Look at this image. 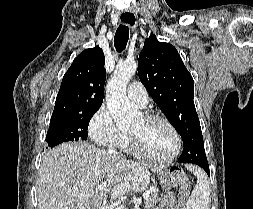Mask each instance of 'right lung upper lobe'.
<instances>
[{"mask_svg":"<svg viewBox=\"0 0 253 209\" xmlns=\"http://www.w3.org/2000/svg\"><path fill=\"white\" fill-rule=\"evenodd\" d=\"M105 57L98 46L82 51L65 73L51 118L100 108L106 79Z\"/></svg>","mask_w":253,"mask_h":209,"instance_id":"cb5924a9","label":"right lung upper lobe"}]
</instances>
